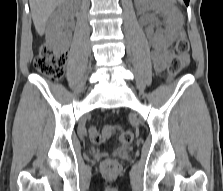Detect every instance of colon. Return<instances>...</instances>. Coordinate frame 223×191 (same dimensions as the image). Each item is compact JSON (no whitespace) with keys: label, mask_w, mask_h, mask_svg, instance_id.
<instances>
[{"label":"colon","mask_w":223,"mask_h":191,"mask_svg":"<svg viewBox=\"0 0 223 191\" xmlns=\"http://www.w3.org/2000/svg\"><path fill=\"white\" fill-rule=\"evenodd\" d=\"M190 43L185 34H181L175 44V54L170 58L167 66L168 75L172 78L182 68V58L189 52ZM67 56L65 53H57L44 46L34 60L36 70L47 76L53 82L59 81L64 72ZM114 126L107 125L101 130L91 131V140L100 145L114 133ZM121 144L128 145L133 141V134L129 130H122L119 135ZM103 172L116 174L120 171V164L116 160H108L102 166Z\"/></svg>","instance_id":"obj_1"}]
</instances>
